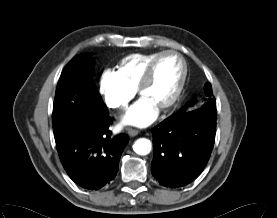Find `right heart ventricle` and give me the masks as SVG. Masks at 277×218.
<instances>
[{
  "instance_id": "1",
  "label": "right heart ventricle",
  "mask_w": 277,
  "mask_h": 218,
  "mask_svg": "<svg viewBox=\"0 0 277 218\" xmlns=\"http://www.w3.org/2000/svg\"><path fill=\"white\" fill-rule=\"evenodd\" d=\"M159 52L132 53L124 57L118 66V73L133 88H137L150 61Z\"/></svg>"
}]
</instances>
